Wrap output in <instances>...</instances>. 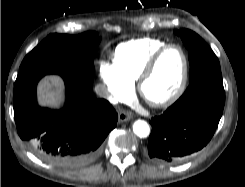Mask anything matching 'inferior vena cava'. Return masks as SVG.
I'll return each instance as SVG.
<instances>
[{
    "instance_id": "1",
    "label": "inferior vena cava",
    "mask_w": 245,
    "mask_h": 187,
    "mask_svg": "<svg viewBox=\"0 0 245 187\" xmlns=\"http://www.w3.org/2000/svg\"><path fill=\"white\" fill-rule=\"evenodd\" d=\"M95 91L100 97L108 98L110 100L112 99L109 91L104 84H97L95 87Z\"/></svg>"
}]
</instances>
